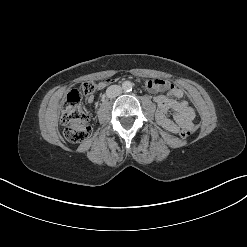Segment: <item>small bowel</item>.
Listing matches in <instances>:
<instances>
[{
    "label": "small bowel",
    "mask_w": 247,
    "mask_h": 247,
    "mask_svg": "<svg viewBox=\"0 0 247 247\" xmlns=\"http://www.w3.org/2000/svg\"><path fill=\"white\" fill-rule=\"evenodd\" d=\"M111 83V79H106L100 82L98 87L102 89ZM144 85L146 89L154 93L167 92V94H158L154 97L157 104L156 119L160 126L171 133H177L180 128L190 131L193 129L195 111L188 101L182 99L184 91L180 87L163 79L147 80ZM93 100L92 95L87 98L89 103H92ZM170 110L175 112L173 119L167 117Z\"/></svg>",
    "instance_id": "small-bowel-1"
}]
</instances>
